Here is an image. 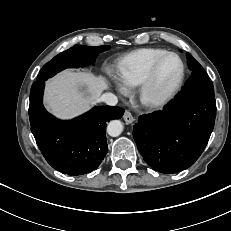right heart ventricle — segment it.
Listing matches in <instances>:
<instances>
[{
	"label": "right heart ventricle",
	"mask_w": 231,
	"mask_h": 231,
	"mask_svg": "<svg viewBox=\"0 0 231 231\" xmlns=\"http://www.w3.org/2000/svg\"><path fill=\"white\" fill-rule=\"evenodd\" d=\"M168 51L163 48H141L122 58L115 66L119 80L129 87L138 86L154 62Z\"/></svg>",
	"instance_id": "right-heart-ventricle-1"
}]
</instances>
